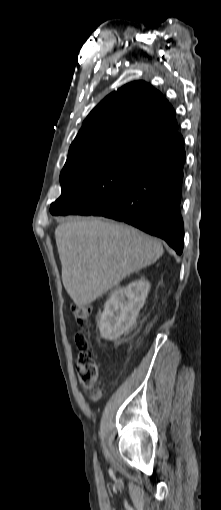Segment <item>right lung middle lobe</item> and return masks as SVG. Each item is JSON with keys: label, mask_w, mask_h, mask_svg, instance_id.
Here are the masks:
<instances>
[{"label": "right lung middle lobe", "mask_w": 221, "mask_h": 510, "mask_svg": "<svg viewBox=\"0 0 221 510\" xmlns=\"http://www.w3.org/2000/svg\"><path fill=\"white\" fill-rule=\"evenodd\" d=\"M149 153L128 146L66 161L60 174L62 193L51 204V214L67 215L77 208L89 210L111 203L125 191Z\"/></svg>", "instance_id": "1"}]
</instances>
